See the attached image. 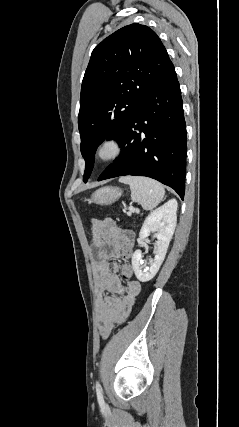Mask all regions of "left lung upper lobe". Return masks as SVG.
Masks as SVG:
<instances>
[{
	"instance_id": "1",
	"label": "left lung upper lobe",
	"mask_w": 239,
	"mask_h": 427,
	"mask_svg": "<svg viewBox=\"0 0 239 427\" xmlns=\"http://www.w3.org/2000/svg\"><path fill=\"white\" fill-rule=\"evenodd\" d=\"M173 67L157 34L148 26H125L99 43L86 69L78 126L85 159L84 182L106 136L121 141L138 103Z\"/></svg>"
}]
</instances>
